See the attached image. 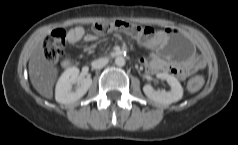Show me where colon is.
<instances>
[{"instance_id": "colon-1", "label": "colon", "mask_w": 238, "mask_h": 145, "mask_svg": "<svg viewBox=\"0 0 238 145\" xmlns=\"http://www.w3.org/2000/svg\"><path fill=\"white\" fill-rule=\"evenodd\" d=\"M96 36L106 35L112 32H123L135 38L144 46L151 45L159 32L149 26H141L124 20L96 23L92 27ZM67 43V34L63 29H55L49 33L42 44L44 58L49 62H56L62 56ZM201 76H195L188 82L190 91H197L203 86Z\"/></svg>"}]
</instances>
